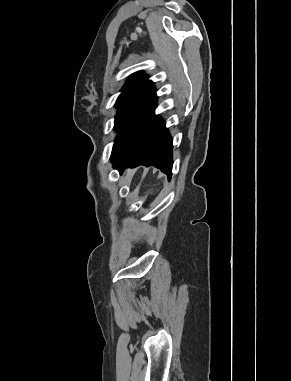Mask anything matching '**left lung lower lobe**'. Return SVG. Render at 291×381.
<instances>
[{"label": "left lung lower lobe", "instance_id": "1", "mask_svg": "<svg viewBox=\"0 0 291 381\" xmlns=\"http://www.w3.org/2000/svg\"><path fill=\"white\" fill-rule=\"evenodd\" d=\"M157 96L147 104L112 150L111 161L120 173L125 167L154 165L172 175V139L165 123L154 114Z\"/></svg>", "mask_w": 291, "mask_h": 381}]
</instances>
